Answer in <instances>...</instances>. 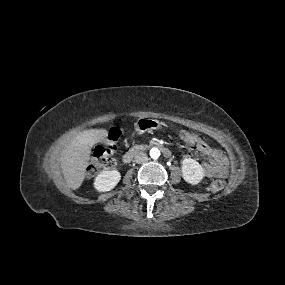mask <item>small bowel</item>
<instances>
[{
  "label": "small bowel",
  "mask_w": 285,
  "mask_h": 285,
  "mask_svg": "<svg viewBox=\"0 0 285 285\" xmlns=\"http://www.w3.org/2000/svg\"><path fill=\"white\" fill-rule=\"evenodd\" d=\"M194 147L208 158L204 168L209 178L225 177L227 175L228 165L225 156L220 150L209 146L202 140H199Z\"/></svg>",
  "instance_id": "1"
}]
</instances>
